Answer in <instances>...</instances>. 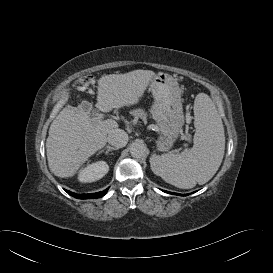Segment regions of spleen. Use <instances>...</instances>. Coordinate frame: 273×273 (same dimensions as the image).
<instances>
[{
    "instance_id": "spleen-1",
    "label": "spleen",
    "mask_w": 273,
    "mask_h": 273,
    "mask_svg": "<svg viewBox=\"0 0 273 273\" xmlns=\"http://www.w3.org/2000/svg\"><path fill=\"white\" fill-rule=\"evenodd\" d=\"M194 117L196 132L192 148L150 158L152 171L181 189L208 182L221 165L225 151L223 123L208 95L200 93L196 96Z\"/></svg>"
}]
</instances>
